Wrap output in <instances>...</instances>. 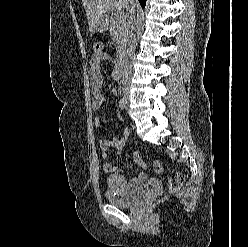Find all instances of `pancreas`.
Returning <instances> with one entry per match:
<instances>
[{"label":"pancreas","instance_id":"pancreas-1","mask_svg":"<svg viewBox=\"0 0 248 247\" xmlns=\"http://www.w3.org/2000/svg\"><path fill=\"white\" fill-rule=\"evenodd\" d=\"M109 31L112 40L116 43L117 54L123 55L126 47L127 26L122 15L110 17Z\"/></svg>","mask_w":248,"mask_h":247}]
</instances>
